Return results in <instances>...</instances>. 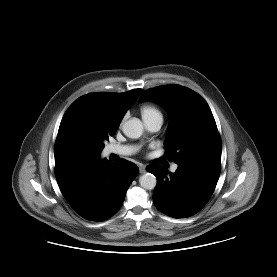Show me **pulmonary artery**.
<instances>
[{
  "label": "pulmonary artery",
  "instance_id": "e3ab8cb5",
  "mask_svg": "<svg viewBox=\"0 0 277 277\" xmlns=\"http://www.w3.org/2000/svg\"><path fill=\"white\" fill-rule=\"evenodd\" d=\"M144 122H145L146 127L152 132L158 131L162 125L161 118H155V119L147 120ZM134 152H136V148L133 146H127V145H110L106 148L107 155L117 154V155H121V156H127V155L133 154ZM177 167L178 166L176 164H174V165H172L171 170L176 171Z\"/></svg>",
  "mask_w": 277,
  "mask_h": 277
}]
</instances>
